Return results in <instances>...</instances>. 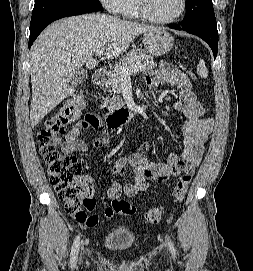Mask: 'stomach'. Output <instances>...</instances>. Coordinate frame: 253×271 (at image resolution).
Returning a JSON list of instances; mask_svg holds the SVG:
<instances>
[{
	"instance_id": "0dacf381",
	"label": "stomach",
	"mask_w": 253,
	"mask_h": 271,
	"mask_svg": "<svg viewBox=\"0 0 253 271\" xmlns=\"http://www.w3.org/2000/svg\"><path fill=\"white\" fill-rule=\"evenodd\" d=\"M143 44L149 54L153 56H161L172 49L174 39L170 33L164 29L157 28L144 34Z\"/></svg>"
}]
</instances>
